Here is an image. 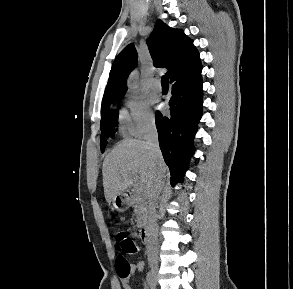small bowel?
<instances>
[{
	"label": "small bowel",
	"mask_w": 293,
	"mask_h": 289,
	"mask_svg": "<svg viewBox=\"0 0 293 289\" xmlns=\"http://www.w3.org/2000/svg\"><path fill=\"white\" fill-rule=\"evenodd\" d=\"M144 267H145V265L143 262H137L133 265V269L136 271H142V270H144ZM121 287H122V289H130L127 279L121 280Z\"/></svg>",
	"instance_id": "obj_1"
}]
</instances>
